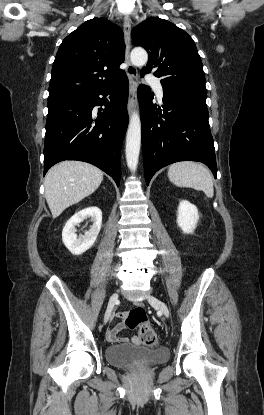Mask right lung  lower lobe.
I'll return each mask as SVG.
<instances>
[{
	"label": "right lung lower lobe",
	"mask_w": 264,
	"mask_h": 415,
	"mask_svg": "<svg viewBox=\"0 0 264 415\" xmlns=\"http://www.w3.org/2000/svg\"><path fill=\"white\" fill-rule=\"evenodd\" d=\"M109 96L110 101L99 98ZM128 79L124 73L112 84L90 93L48 102L44 146V175L63 160L91 163L119 186L120 153L128 125ZM98 109L97 117L92 112Z\"/></svg>",
	"instance_id": "right-lung-lower-lobe-1"
}]
</instances>
